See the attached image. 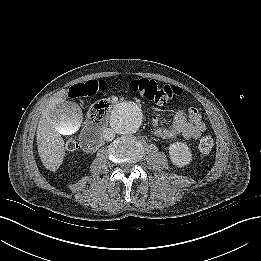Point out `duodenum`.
Returning <instances> with one entry per match:
<instances>
[{
    "label": "duodenum",
    "mask_w": 261,
    "mask_h": 261,
    "mask_svg": "<svg viewBox=\"0 0 261 261\" xmlns=\"http://www.w3.org/2000/svg\"><path fill=\"white\" fill-rule=\"evenodd\" d=\"M102 143V135L94 130L87 129L81 137V147L87 153L94 152Z\"/></svg>",
    "instance_id": "1"
}]
</instances>
